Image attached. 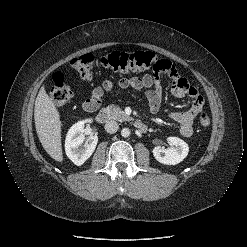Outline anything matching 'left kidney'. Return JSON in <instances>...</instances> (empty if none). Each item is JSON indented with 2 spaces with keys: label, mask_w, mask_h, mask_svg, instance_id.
Instances as JSON below:
<instances>
[{
  "label": "left kidney",
  "mask_w": 247,
  "mask_h": 247,
  "mask_svg": "<svg viewBox=\"0 0 247 247\" xmlns=\"http://www.w3.org/2000/svg\"><path fill=\"white\" fill-rule=\"evenodd\" d=\"M167 141L171 147L165 149L164 147L156 146L153 149V155L162 164L176 165L186 158L189 152V146L178 137H169Z\"/></svg>",
  "instance_id": "left-kidney-1"
}]
</instances>
